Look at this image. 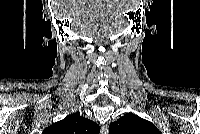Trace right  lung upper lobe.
I'll return each mask as SVG.
<instances>
[{
	"mask_svg": "<svg viewBox=\"0 0 200 134\" xmlns=\"http://www.w3.org/2000/svg\"><path fill=\"white\" fill-rule=\"evenodd\" d=\"M100 127L93 121L78 114L67 116L47 127L45 134H98Z\"/></svg>",
	"mask_w": 200,
	"mask_h": 134,
	"instance_id": "obj_1",
	"label": "right lung upper lobe"
}]
</instances>
